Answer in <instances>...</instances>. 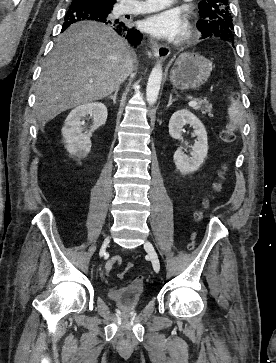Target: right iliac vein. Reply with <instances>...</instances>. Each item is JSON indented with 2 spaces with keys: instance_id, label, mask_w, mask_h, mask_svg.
Listing matches in <instances>:
<instances>
[{
  "instance_id": "63e3f726",
  "label": "right iliac vein",
  "mask_w": 276,
  "mask_h": 363,
  "mask_svg": "<svg viewBox=\"0 0 276 363\" xmlns=\"http://www.w3.org/2000/svg\"><path fill=\"white\" fill-rule=\"evenodd\" d=\"M109 242H110V238H109V237H107V238L104 240V242H103V244H102V246H101V249H100V254H101V255L105 252L106 247H107V245L109 244Z\"/></svg>"
}]
</instances>
